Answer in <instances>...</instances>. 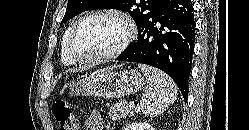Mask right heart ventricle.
I'll use <instances>...</instances> for the list:
<instances>
[{
	"label": "right heart ventricle",
	"instance_id": "1",
	"mask_svg": "<svg viewBox=\"0 0 249 130\" xmlns=\"http://www.w3.org/2000/svg\"><path fill=\"white\" fill-rule=\"evenodd\" d=\"M71 27L67 28L66 31L63 34L62 37V41H61V59L62 61L67 64V65H71L74 62L68 57L67 53H66V41H67V37L69 35Z\"/></svg>",
	"mask_w": 249,
	"mask_h": 130
}]
</instances>
